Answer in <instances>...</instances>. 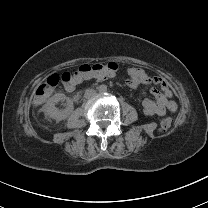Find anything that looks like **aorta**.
I'll list each match as a JSON object with an SVG mask.
<instances>
[{"instance_id": "obj_1", "label": "aorta", "mask_w": 208, "mask_h": 208, "mask_svg": "<svg viewBox=\"0 0 208 208\" xmlns=\"http://www.w3.org/2000/svg\"><path fill=\"white\" fill-rule=\"evenodd\" d=\"M107 91H108V88H107L106 85H99V86L97 87V92H98L99 94H105V93H107Z\"/></svg>"}]
</instances>
